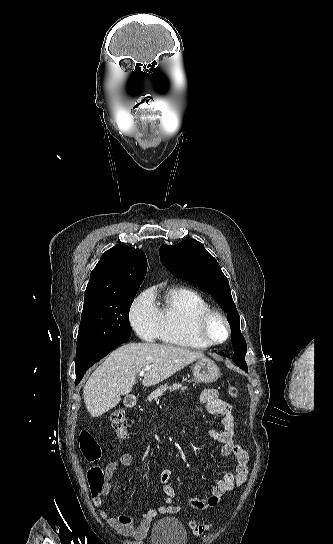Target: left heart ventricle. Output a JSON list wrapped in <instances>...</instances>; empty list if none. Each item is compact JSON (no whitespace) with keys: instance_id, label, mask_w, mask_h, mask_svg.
<instances>
[{"instance_id":"b2bd125f","label":"left heart ventricle","mask_w":333,"mask_h":544,"mask_svg":"<svg viewBox=\"0 0 333 544\" xmlns=\"http://www.w3.org/2000/svg\"><path fill=\"white\" fill-rule=\"evenodd\" d=\"M210 334L216 340H223L226 336L224 324L219 319H214L210 324Z\"/></svg>"}]
</instances>
